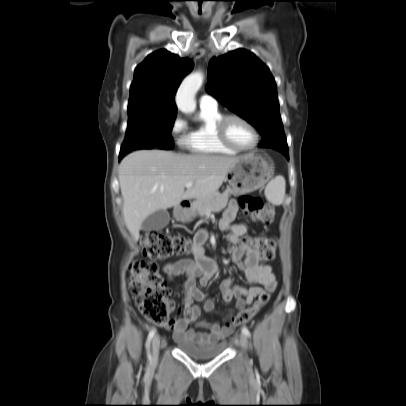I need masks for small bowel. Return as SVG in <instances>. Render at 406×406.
Instances as JSON below:
<instances>
[{"instance_id":"1","label":"small bowel","mask_w":406,"mask_h":406,"mask_svg":"<svg viewBox=\"0 0 406 406\" xmlns=\"http://www.w3.org/2000/svg\"><path fill=\"white\" fill-rule=\"evenodd\" d=\"M238 205L235 200H231L219 221V228L227 231V240L234 245L232 251V261L237 268L242 271L249 283L258 284L269 291L276 289L277 283L271 265L266 263L260 255L252 250L241 246V237L248 232L246 223H234L237 216ZM208 234L205 230H200L195 235L193 252L194 260L181 259L168 263L163 270L169 279L183 276L182 283L185 292L184 308L178 310L182 312V317L171 318L168 325L163 326L166 330L173 332L175 341H184L194 344H210L223 339L232 332V327L223 323H208L198 321L201 312L209 313L214 309L213 299L207 297L196 287V279H199L201 286H206L217 271V265L213 259L206 256L203 244L207 240ZM254 286L246 288L241 285H234L233 279L228 277L220 284V296L225 303L236 301L238 309L244 308L252 303L255 297L262 292V287ZM203 301V306L199 307L196 302ZM170 303L171 310L174 304ZM229 311L227 317L231 315ZM197 329H190L189 326L196 323Z\"/></svg>"}]
</instances>
